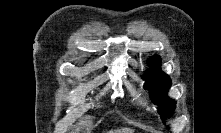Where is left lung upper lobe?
Here are the masks:
<instances>
[{
  "mask_svg": "<svg viewBox=\"0 0 221 133\" xmlns=\"http://www.w3.org/2000/svg\"><path fill=\"white\" fill-rule=\"evenodd\" d=\"M160 63L161 59L158 56L149 59V65L152 69L144 75V80L146 82L145 88L150 90V96L153 102L159 106V112L164 117H167L173 112L175 102L166 97V102L157 103L156 97L161 94L165 96L171 85L169 76L159 69Z\"/></svg>",
  "mask_w": 221,
  "mask_h": 133,
  "instance_id": "left-lung-upper-lobe-1",
  "label": "left lung upper lobe"
}]
</instances>
